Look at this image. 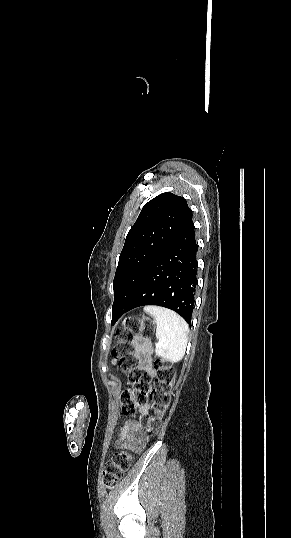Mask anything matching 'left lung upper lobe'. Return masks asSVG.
Returning a JSON list of instances; mask_svg holds the SVG:
<instances>
[{
  "label": "left lung upper lobe",
  "instance_id": "obj_1",
  "mask_svg": "<svg viewBox=\"0 0 291 538\" xmlns=\"http://www.w3.org/2000/svg\"><path fill=\"white\" fill-rule=\"evenodd\" d=\"M191 222L186 200L172 193H162L144 205L119 257L112 309L130 302L159 255Z\"/></svg>",
  "mask_w": 291,
  "mask_h": 538
}]
</instances>
